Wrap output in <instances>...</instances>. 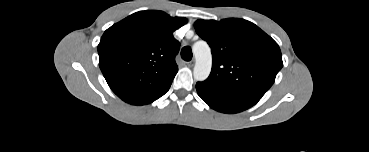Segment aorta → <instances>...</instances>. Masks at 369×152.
Instances as JSON below:
<instances>
[{"label":"aorta","mask_w":369,"mask_h":152,"mask_svg":"<svg viewBox=\"0 0 369 152\" xmlns=\"http://www.w3.org/2000/svg\"><path fill=\"white\" fill-rule=\"evenodd\" d=\"M192 52L195 56V66L193 69L194 79L204 81L208 78L212 67V54L206 41L200 40L194 43Z\"/></svg>","instance_id":"762f6f07"}]
</instances>
